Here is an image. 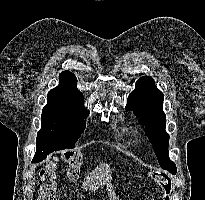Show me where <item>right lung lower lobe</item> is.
I'll return each instance as SVG.
<instances>
[{"instance_id":"98d812e1","label":"right lung lower lobe","mask_w":205,"mask_h":200,"mask_svg":"<svg viewBox=\"0 0 205 200\" xmlns=\"http://www.w3.org/2000/svg\"><path fill=\"white\" fill-rule=\"evenodd\" d=\"M36 145L37 149L32 163L42 161L49 153L61 150V146L51 139L36 140Z\"/></svg>"}]
</instances>
